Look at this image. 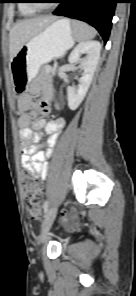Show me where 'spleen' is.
<instances>
[{"instance_id": "obj_1", "label": "spleen", "mask_w": 136, "mask_h": 296, "mask_svg": "<svg viewBox=\"0 0 136 296\" xmlns=\"http://www.w3.org/2000/svg\"><path fill=\"white\" fill-rule=\"evenodd\" d=\"M71 25L77 41L89 40L96 35L95 29L84 22L73 20Z\"/></svg>"}]
</instances>
